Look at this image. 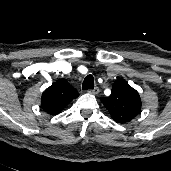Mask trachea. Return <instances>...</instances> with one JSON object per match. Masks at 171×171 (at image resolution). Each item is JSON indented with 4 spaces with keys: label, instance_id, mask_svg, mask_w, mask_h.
I'll use <instances>...</instances> for the list:
<instances>
[{
    "label": "trachea",
    "instance_id": "trachea-1",
    "mask_svg": "<svg viewBox=\"0 0 171 171\" xmlns=\"http://www.w3.org/2000/svg\"><path fill=\"white\" fill-rule=\"evenodd\" d=\"M94 88V77L89 74L85 77L83 84H82V89L87 90V89H93Z\"/></svg>",
    "mask_w": 171,
    "mask_h": 171
}]
</instances>
